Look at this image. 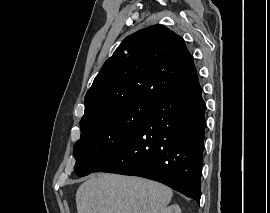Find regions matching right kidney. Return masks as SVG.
<instances>
[{
  "mask_svg": "<svg viewBox=\"0 0 270 213\" xmlns=\"http://www.w3.org/2000/svg\"><path fill=\"white\" fill-rule=\"evenodd\" d=\"M160 213H181V209L177 204H173L161 210Z\"/></svg>",
  "mask_w": 270,
  "mask_h": 213,
  "instance_id": "1",
  "label": "right kidney"
}]
</instances>
